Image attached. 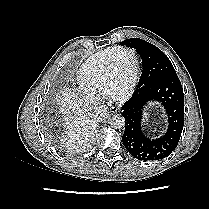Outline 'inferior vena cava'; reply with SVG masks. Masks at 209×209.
<instances>
[{"label": "inferior vena cava", "instance_id": "obj_1", "mask_svg": "<svg viewBox=\"0 0 209 209\" xmlns=\"http://www.w3.org/2000/svg\"><path fill=\"white\" fill-rule=\"evenodd\" d=\"M96 111L98 113L104 114L107 111V107L105 105L104 106H98V107H96Z\"/></svg>", "mask_w": 209, "mask_h": 209}]
</instances>
